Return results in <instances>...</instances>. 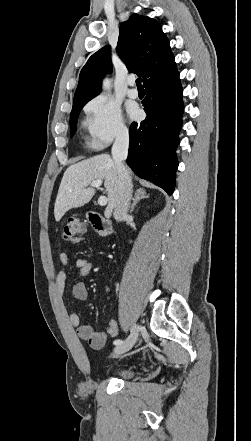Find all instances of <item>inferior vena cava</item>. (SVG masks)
<instances>
[{
  "label": "inferior vena cava",
  "mask_w": 251,
  "mask_h": 441,
  "mask_svg": "<svg viewBox=\"0 0 251 441\" xmlns=\"http://www.w3.org/2000/svg\"><path fill=\"white\" fill-rule=\"evenodd\" d=\"M129 134L127 130H121L112 146V157L118 170L119 192L114 207V218L116 221H123L127 217L129 204L132 196V183L124 165L128 156Z\"/></svg>",
  "instance_id": "1"
}]
</instances>
